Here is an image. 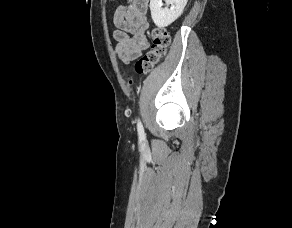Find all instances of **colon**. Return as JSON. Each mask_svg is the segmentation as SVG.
I'll return each mask as SVG.
<instances>
[{
  "label": "colon",
  "instance_id": "1",
  "mask_svg": "<svg viewBox=\"0 0 292 228\" xmlns=\"http://www.w3.org/2000/svg\"><path fill=\"white\" fill-rule=\"evenodd\" d=\"M151 49L135 64V71L140 75L149 74L166 55L171 43L170 33L164 28H154L150 33Z\"/></svg>",
  "mask_w": 292,
  "mask_h": 228
}]
</instances>
